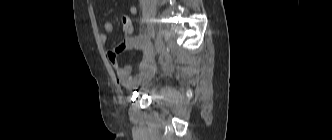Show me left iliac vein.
<instances>
[{
    "mask_svg": "<svg viewBox=\"0 0 332 140\" xmlns=\"http://www.w3.org/2000/svg\"><path fill=\"white\" fill-rule=\"evenodd\" d=\"M155 46L158 53L164 50V43L161 34H157L155 39Z\"/></svg>",
    "mask_w": 332,
    "mask_h": 140,
    "instance_id": "left-iliac-vein-1",
    "label": "left iliac vein"
}]
</instances>
